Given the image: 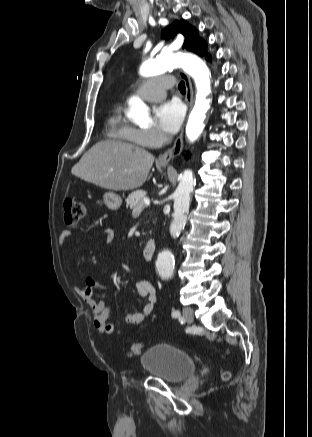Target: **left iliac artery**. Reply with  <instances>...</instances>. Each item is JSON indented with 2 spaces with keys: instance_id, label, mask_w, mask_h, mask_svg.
Instances as JSON below:
<instances>
[{
  "instance_id": "44dca946",
  "label": "left iliac artery",
  "mask_w": 312,
  "mask_h": 437,
  "mask_svg": "<svg viewBox=\"0 0 312 437\" xmlns=\"http://www.w3.org/2000/svg\"><path fill=\"white\" fill-rule=\"evenodd\" d=\"M180 316V312L178 311V310H174V311H172V317L173 318H177V317H179Z\"/></svg>"
}]
</instances>
